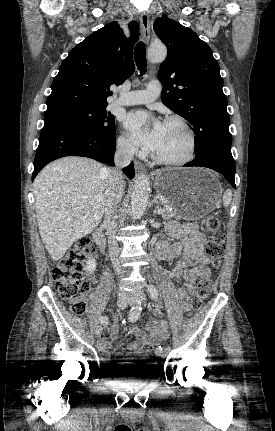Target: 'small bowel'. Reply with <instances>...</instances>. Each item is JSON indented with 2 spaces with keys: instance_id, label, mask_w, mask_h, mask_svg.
Segmentation results:
<instances>
[{
  "instance_id": "1",
  "label": "small bowel",
  "mask_w": 275,
  "mask_h": 431,
  "mask_svg": "<svg viewBox=\"0 0 275 431\" xmlns=\"http://www.w3.org/2000/svg\"><path fill=\"white\" fill-rule=\"evenodd\" d=\"M167 233L175 242L160 241L157 244L158 256L165 261H172L179 257L176 266L167 273L170 278L182 279L185 288L178 289L176 295L183 309L189 307V298L195 292L194 283L203 273L210 274L211 260L205 253L206 238L194 223L179 224L171 222L167 226ZM157 315L161 314L156 309ZM148 334L138 332V340L130 345V349L138 354H143L146 347H152L165 341L169 336L167 325L159 320H150L145 324ZM119 333V325L114 322L108 331L98 340L100 352L107 356L112 348V342L116 341Z\"/></svg>"
}]
</instances>
